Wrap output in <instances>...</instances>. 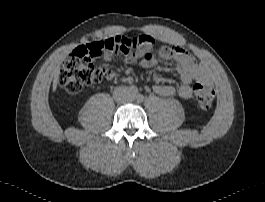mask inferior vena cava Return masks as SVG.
<instances>
[{"instance_id":"obj_1","label":"inferior vena cava","mask_w":265,"mask_h":202,"mask_svg":"<svg viewBox=\"0 0 265 202\" xmlns=\"http://www.w3.org/2000/svg\"><path fill=\"white\" fill-rule=\"evenodd\" d=\"M131 94L127 87H117L113 92V98L116 102L125 103L130 100Z\"/></svg>"}]
</instances>
